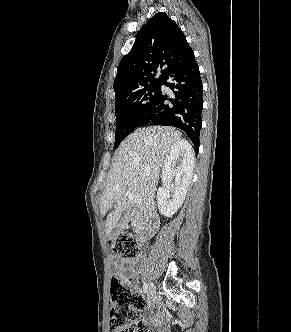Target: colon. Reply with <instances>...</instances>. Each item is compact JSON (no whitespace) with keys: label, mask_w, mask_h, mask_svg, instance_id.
<instances>
[{"label":"colon","mask_w":291,"mask_h":332,"mask_svg":"<svg viewBox=\"0 0 291 332\" xmlns=\"http://www.w3.org/2000/svg\"><path fill=\"white\" fill-rule=\"evenodd\" d=\"M109 249L126 261L138 258L140 250L135 235L122 232L107 240ZM110 332H148L141 319L143 298L133 292L130 281L123 274H115L110 280Z\"/></svg>","instance_id":"1"}]
</instances>
